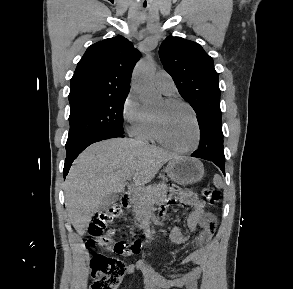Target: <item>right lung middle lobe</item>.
Returning <instances> with one entry per match:
<instances>
[{"label": "right lung middle lobe", "mask_w": 293, "mask_h": 289, "mask_svg": "<svg viewBox=\"0 0 293 289\" xmlns=\"http://www.w3.org/2000/svg\"><path fill=\"white\" fill-rule=\"evenodd\" d=\"M127 95L88 96L70 101V131L66 146L100 132L124 133L123 107Z\"/></svg>", "instance_id": "1"}]
</instances>
